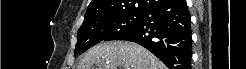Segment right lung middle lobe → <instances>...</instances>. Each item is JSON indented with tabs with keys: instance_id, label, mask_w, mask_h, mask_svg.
Returning a JSON list of instances; mask_svg holds the SVG:
<instances>
[{
	"instance_id": "obj_1",
	"label": "right lung middle lobe",
	"mask_w": 246,
	"mask_h": 69,
	"mask_svg": "<svg viewBox=\"0 0 246 69\" xmlns=\"http://www.w3.org/2000/svg\"><path fill=\"white\" fill-rule=\"evenodd\" d=\"M165 1L167 0L163 3ZM141 20L142 14H122L83 22L77 33L74 55L85 52L102 41L119 40L137 27Z\"/></svg>"
}]
</instances>
